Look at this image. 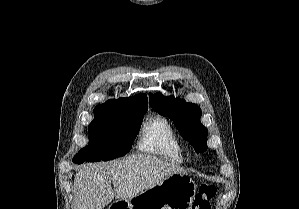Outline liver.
Here are the masks:
<instances>
[{
    "label": "liver",
    "mask_w": 299,
    "mask_h": 209,
    "mask_svg": "<svg viewBox=\"0 0 299 209\" xmlns=\"http://www.w3.org/2000/svg\"><path fill=\"white\" fill-rule=\"evenodd\" d=\"M178 173L186 172L160 158L143 154L87 165L78 171L74 179L75 209H102L114 196L117 199L132 198L167 176Z\"/></svg>",
    "instance_id": "liver-1"
}]
</instances>
